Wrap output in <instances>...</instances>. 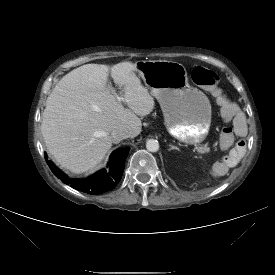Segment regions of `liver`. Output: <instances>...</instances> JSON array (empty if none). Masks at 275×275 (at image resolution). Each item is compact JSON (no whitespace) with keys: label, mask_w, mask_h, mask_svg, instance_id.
<instances>
[{"label":"liver","mask_w":275,"mask_h":275,"mask_svg":"<svg viewBox=\"0 0 275 275\" xmlns=\"http://www.w3.org/2000/svg\"><path fill=\"white\" fill-rule=\"evenodd\" d=\"M135 72L136 65L129 61L86 64L56 84L47 98L41 132L49 154L61 167L74 174L92 171L110 150L113 130L125 127L131 138L141 133L138 116L150 114L155 102ZM109 73L122 89L127 108L107 84Z\"/></svg>","instance_id":"1"}]
</instances>
